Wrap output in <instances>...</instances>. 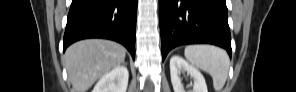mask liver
I'll use <instances>...</instances> for the list:
<instances>
[{"label": "liver", "instance_id": "liver-1", "mask_svg": "<svg viewBox=\"0 0 296 92\" xmlns=\"http://www.w3.org/2000/svg\"><path fill=\"white\" fill-rule=\"evenodd\" d=\"M125 55L122 45L104 39H87L68 47L63 64L74 92H87L99 78L120 66Z\"/></svg>", "mask_w": 296, "mask_h": 92}]
</instances>
